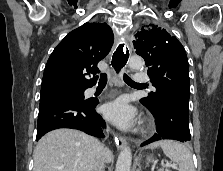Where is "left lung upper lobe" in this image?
<instances>
[{"instance_id":"left-lung-upper-lobe-1","label":"left lung upper lobe","mask_w":223,"mask_h":171,"mask_svg":"<svg viewBox=\"0 0 223 171\" xmlns=\"http://www.w3.org/2000/svg\"><path fill=\"white\" fill-rule=\"evenodd\" d=\"M136 53L148 66L150 81L156 88L141 103L155 110L166 98L176 99L188 106L189 64L182 44L165 29L150 24L142 27L133 41Z\"/></svg>"}]
</instances>
